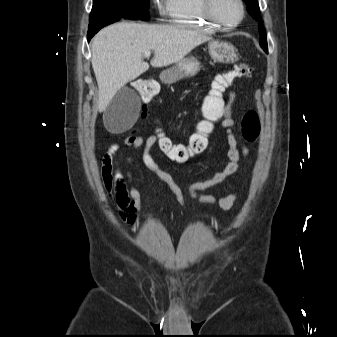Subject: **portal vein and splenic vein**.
Returning a JSON list of instances; mask_svg holds the SVG:
<instances>
[{"label":"portal vein and splenic vein","instance_id":"portal-vein-and-splenic-vein-1","mask_svg":"<svg viewBox=\"0 0 337 337\" xmlns=\"http://www.w3.org/2000/svg\"><path fill=\"white\" fill-rule=\"evenodd\" d=\"M150 56H151V52H150V51H147V52L144 53V57H147V58H148V57H150Z\"/></svg>","mask_w":337,"mask_h":337}]
</instances>
